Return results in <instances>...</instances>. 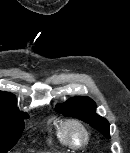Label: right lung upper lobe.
I'll list each match as a JSON object with an SVG mask.
<instances>
[{
  "mask_svg": "<svg viewBox=\"0 0 130 153\" xmlns=\"http://www.w3.org/2000/svg\"><path fill=\"white\" fill-rule=\"evenodd\" d=\"M17 101L13 94L0 91V113H19Z\"/></svg>",
  "mask_w": 130,
  "mask_h": 153,
  "instance_id": "right-lung-upper-lobe-1",
  "label": "right lung upper lobe"
}]
</instances>
